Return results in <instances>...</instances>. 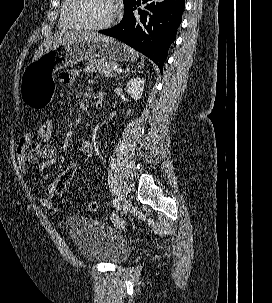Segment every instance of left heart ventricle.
I'll return each mask as SVG.
<instances>
[{
  "mask_svg": "<svg viewBox=\"0 0 272 303\" xmlns=\"http://www.w3.org/2000/svg\"><path fill=\"white\" fill-rule=\"evenodd\" d=\"M75 11L84 22L99 25L112 17L114 4L112 0H80Z\"/></svg>",
  "mask_w": 272,
  "mask_h": 303,
  "instance_id": "1",
  "label": "left heart ventricle"
}]
</instances>
